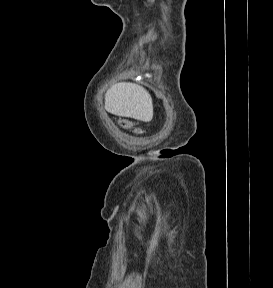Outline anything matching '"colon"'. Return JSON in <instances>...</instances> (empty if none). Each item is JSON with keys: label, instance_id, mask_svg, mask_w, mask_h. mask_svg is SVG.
<instances>
[{"label": "colon", "instance_id": "colon-1", "mask_svg": "<svg viewBox=\"0 0 273 288\" xmlns=\"http://www.w3.org/2000/svg\"><path fill=\"white\" fill-rule=\"evenodd\" d=\"M119 124L120 126H122L123 128H132L133 127V124L129 121V120H126V119H123V120H120L119 121Z\"/></svg>", "mask_w": 273, "mask_h": 288}]
</instances>
